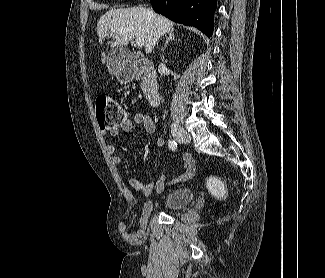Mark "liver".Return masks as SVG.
<instances>
[{"instance_id": "obj_1", "label": "liver", "mask_w": 325, "mask_h": 278, "mask_svg": "<svg viewBox=\"0 0 325 278\" xmlns=\"http://www.w3.org/2000/svg\"><path fill=\"white\" fill-rule=\"evenodd\" d=\"M174 23L168 18L150 13L143 6L111 9L97 22V35L102 42L107 36H113L117 45H127L134 38L144 40L145 52L150 54L158 39L173 29ZM102 53V63H105Z\"/></svg>"}]
</instances>
